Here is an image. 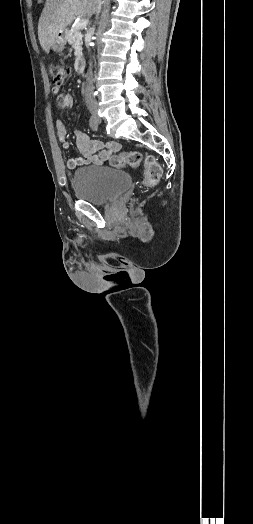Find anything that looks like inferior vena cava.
I'll return each mask as SVG.
<instances>
[{
  "instance_id": "inferior-vena-cava-1",
  "label": "inferior vena cava",
  "mask_w": 253,
  "mask_h": 524,
  "mask_svg": "<svg viewBox=\"0 0 253 524\" xmlns=\"http://www.w3.org/2000/svg\"><path fill=\"white\" fill-rule=\"evenodd\" d=\"M102 1L98 0L96 14L98 15L101 11ZM91 32H94V27L91 29ZM85 101L88 107L96 105L94 99V86H93V77H92V62L89 63V69L86 75V91H85Z\"/></svg>"
}]
</instances>
